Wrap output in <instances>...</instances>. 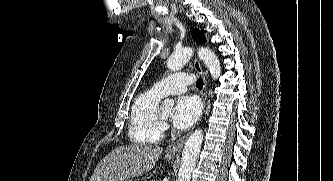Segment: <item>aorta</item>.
Wrapping results in <instances>:
<instances>
[{
  "label": "aorta",
  "instance_id": "aorta-1",
  "mask_svg": "<svg viewBox=\"0 0 333 181\" xmlns=\"http://www.w3.org/2000/svg\"><path fill=\"white\" fill-rule=\"evenodd\" d=\"M197 53L200 60H202L208 68L212 78L217 79L221 75V66L216 54L208 48H199ZM192 54L193 49L190 47H185L176 51L167 60L168 69L172 71L180 70L189 61ZM173 104V100L165 99L163 102V107H172ZM203 136L202 129H196L186 140L182 152L181 166L176 181H190L191 174L199 157Z\"/></svg>",
  "mask_w": 333,
  "mask_h": 181
}]
</instances>
